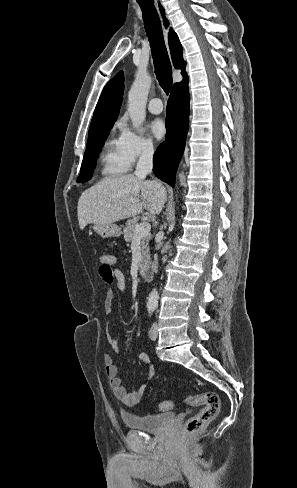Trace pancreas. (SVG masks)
<instances>
[{
    "instance_id": "1",
    "label": "pancreas",
    "mask_w": 297,
    "mask_h": 488,
    "mask_svg": "<svg viewBox=\"0 0 297 488\" xmlns=\"http://www.w3.org/2000/svg\"><path fill=\"white\" fill-rule=\"evenodd\" d=\"M137 221H138L137 218L127 220L126 226H125V228L123 230L124 239H125L126 242H131L134 239L135 227L138 224ZM140 239H141L142 259H143V262L146 263V262H148L150 260L149 247H148V244H149V241H150V235H147L146 234V235L142 236Z\"/></svg>"
}]
</instances>
